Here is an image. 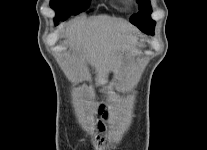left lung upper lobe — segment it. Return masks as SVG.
<instances>
[{"label": "left lung upper lobe", "mask_w": 207, "mask_h": 150, "mask_svg": "<svg viewBox=\"0 0 207 150\" xmlns=\"http://www.w3.org/2000/svg\"><path fill=\"white\" fill-rule=\"evenodd\" d=\"M140 12L133 15L130 21L147 34H153L155 21L150 18L152 12L149 0H137Z\"/></svg>", "instance_id": "5c2ea615"}]
</instances>
